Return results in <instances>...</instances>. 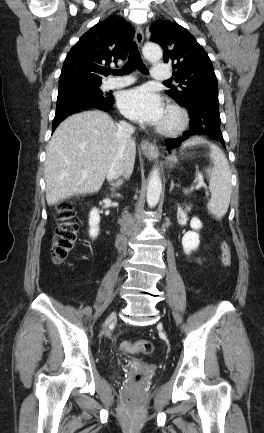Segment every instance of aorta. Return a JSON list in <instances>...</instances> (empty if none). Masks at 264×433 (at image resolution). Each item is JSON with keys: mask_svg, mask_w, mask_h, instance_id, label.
<instances>
[{"mask_svg": "<svg viewBox=\"0 0 264 433\" xmlns=\"http://www.w3.org/2000/svg\"><path fill=\"white\" fill-rule=\"evenodd\" d=\"M144 56L151 62H157L162 58L163 52L159 45L146 43L143 47ZM162 192V181L159 171L154 169L149 179L147 188V204L149 207H155L160 199Z\"/></svg>", "mask_w": 264, "mask_h": 433, "instance_id": "aorta-1", "label": "aorta"}]
</instances>
